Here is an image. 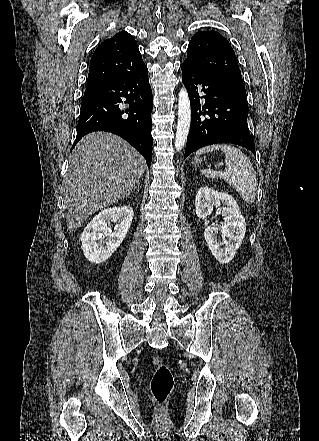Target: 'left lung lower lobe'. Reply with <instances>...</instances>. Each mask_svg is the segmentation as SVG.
Returning a JSON list of instances; mask_svg holds the SVG:
<instances>
[{"label":"left lung lower lobe","mask_w":319,"mask_h":441,"mask_svg":"<svg viewBox=\"0 0 319 441\" xmlns=\"http://www.w3.org/2000/svg\"><path fill=\"white\" fill-rule=\"evenodd\" d=\"M181 69L192 110L184 158L204 146L218 143L236 144L255 154L247 124V96L226 80L186 61ZM200 93L204 94L201 97L205 99L204 104H200Z\"/></svg>","instance_id":"obj_1"}]
</instances>
